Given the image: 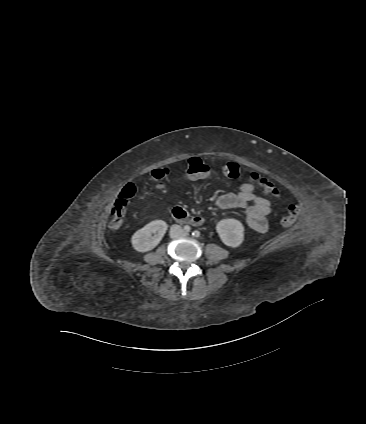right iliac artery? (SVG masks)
<instances>
[{"mask_svg":"<svg viewBox=\"0 0 366 424\" xmlns=\"http://www.w3.org/2000/svg\"><path fill=\"white\" fill-rule=\"evenodd\" d=\"M190 230H191V228L188 225L184 226V231L186 233L190 232Z\"/></svg>","mask_w":366,"mask_h":424,"instance_id":"1","label":"right iliac artery"}]
</instances>
